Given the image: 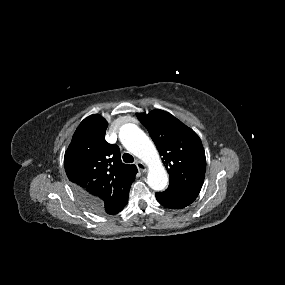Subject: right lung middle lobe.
Returning <instances> with one entry per match:
<instances>
[{
    "label": "right lung middle lobe",
    "mask_w": 285,
    "mask_h": 285,
    "mask_svg": "<svg viewBox=\"0 0 285 285\" xmlns=\"http://www.w3.org/2000/svg\"><path fill=\"white\" fill-rule=\"evenodd\" d=\"M86 207L89 208L91 211H93V212H95V213L101 214V213L97 212V211H96L93 207H91V206H87V205H86Z\"/></svg>",
    "instance_id": "obj_1"
}]
</instances>
